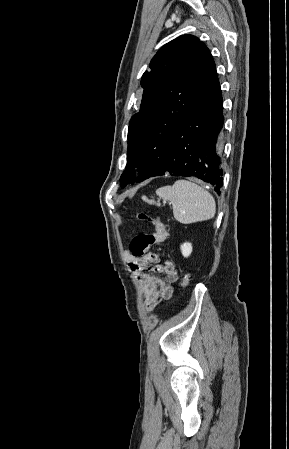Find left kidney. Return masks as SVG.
<instances>
[{
	"label": "left kidney",
	"mask_w": 289,
	"mask_h": 449,
	"mask_svg": "<svg viewBox=\"0 0 289 449\" xmlns=\"http://www.w3.org/2000/svg\"><path fill=\"white\" fill-rule=\"evenodd\" d=\"M181 252L184 257H189L192 253V244L189 242H185L181 245Z\"/></svg>",
	"instance_id": "5707ae66"
}]
</instances>
